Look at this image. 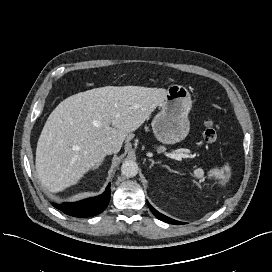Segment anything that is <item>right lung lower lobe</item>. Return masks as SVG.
Segmentation results:
<instances>
[{
    "label": "right lung lower lobe",
    "mask_w": 272,
    "mask_h": 272,
    "mask_svg": "<svg viewBox=\"0 0 272 272\" xmlns=\"http://www.w3.org/2000/svg\"><path fill=\"white\" fill-rule=\"evenodd\" d=\"M110 183L103 194L74 203L53 204L54 207L74 217H91L101 213L110 200Z\"/></svg>",
    "instance_id": "obj_1"
}]
</instances>
